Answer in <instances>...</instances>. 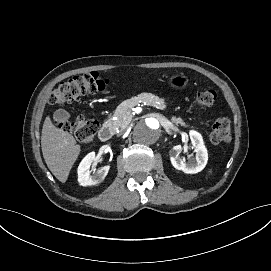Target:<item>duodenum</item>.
<instances>
[{"mask_svg": "<svg viewBox=\"0 0 271 271\" xmlns=\"http://www.w3.org/2000/svg\"><path fill=\"white\" fill-rule=\"evenodd\" d=\"M99 139L102 142L108 141L113 135V127L111 121H106L99 130Z\"/></svg>", "mask_w": 271, "mask_h": 271, "instance_id": "410a0bca", "label": "duodenum"}]
</instances>
